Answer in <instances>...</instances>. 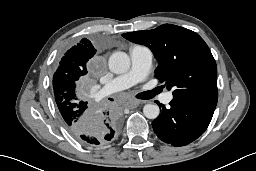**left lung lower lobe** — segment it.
<instances>
[{"label": "left lung lower lobe", "mask_w": 256, "mask_h": 171, "mask_svg": "<svg viewBox=\"0 0 256 171\" xmlns=\"http://www.w3.org/2000/svg\"><path fill=\"white\" fill-rule=\"evenodd\" d=\"M169 104L168 108L159 104L161 114L152 126L162 141L173 146L187 145L201 136L214 113V110L183 100L172 99Z\"/></svg>", "instance_id": "0a47b994"}]
</instances>
